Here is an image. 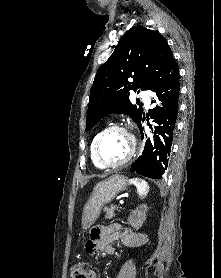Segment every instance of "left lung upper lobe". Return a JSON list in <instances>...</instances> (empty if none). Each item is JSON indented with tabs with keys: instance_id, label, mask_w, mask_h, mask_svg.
<instances>
[{
	"instance_id": "5c2ea615",
	"label": "left lung upper lobe",
	"mask_w": 221,
	"mask_h": 278,
	"mask_svg": "<svg viewBox=\"0 0 221 278\" xmlns=\"http://www.w3.org/2000/svg\"><path fill=\"white\" fill-rule=\"evenodd\" d=\"M172 59L171 49L158 31L143 26L130 28L97 71L90 90L86 131L111 113L128 114L139 126L143 109L131 104L129 92L149 90Z\"/></svg>"
}]
</instances>
